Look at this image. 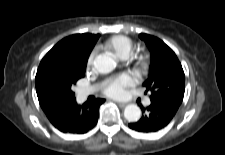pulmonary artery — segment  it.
I'll return each mask as SVG.
<instances>
[{"instance_id": "pulmonary-artery-1", "label": "pulmonary artery", "mask_w": 225, "mask_h": 155, "mask_svg": "<svg viewBox=\"0 0 225 155\" xmlns=\"http://www.w3.org/2000/svg\"><path fill=\"white\" fill-rule=\"evenodd\" d=\"M125 58H127V57H124L123 59H125ZM94 89H95L94 87L81 88V89L78 90V96L80 98H85L88 95H90L91 93H93ZM150 103H151L150 98H146L144 100L145 105H150Z\"/></svg>"}]
</instances>
